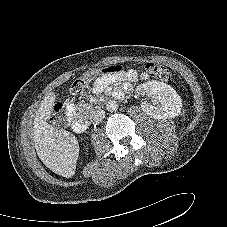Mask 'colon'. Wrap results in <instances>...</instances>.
Returning a JSON list of instances; mask_svg holds the SVG:
<instances>
[{"label":"colon","mask_w":227,"mask_h":227,"mask_svg":"<svg viewBox=\"0 0 227 227\" xmlns=\"http://www.w3.org/2000/svg\"><path fill=\"white\" fill-rule=\"evenodd\" d=\"M120 70L121 68L118 66L92 69L84 73L83 75L79 76L73 82L71 86V92L74 95H84L88 92L89 85L94 78L99 76H111L116 74ZM145 70L149 74L163 81H167L171 77V74L167 68L155 62L147 63L145 65ZM51 121L53 123H62L64 121V112L61 106H57L54 109V112L51 116Z\"/></svg>","instance_id":"5ec220e1"}]
</instances>
